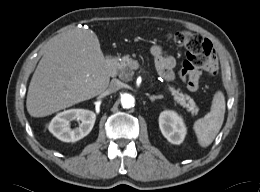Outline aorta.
<instances>
[{"label": "aorta", "mask_w": 260, "mask_h": 192, "mask_svg": "<svg viewBox=\"0 0 260 192\" xmlns=\"http://www.w3.org/2000/svg\"><path fill=\"white\" fill-rule=\"evenodd\" d=\"M121 105L123 108L129 109L134 107L135 99L131 94H123L121 96Z\"/></svg>", "instance_id": "aorta-1"}]
</instances>
